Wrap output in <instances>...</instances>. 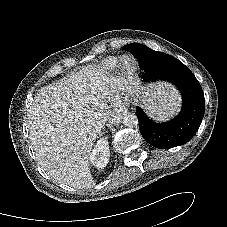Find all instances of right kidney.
<instances>
[{
	"mask_svg": "<svg viewBox=\"0 0 227 227\" xmlns=\"http://www.w3.org/2000/svg\"><path fill=\"white\" fill-rule=\"evenodd\" d=\"M89 161L98 169L106 167L109 161V144L106 139L102 138L97 141L90 153Z\"/></svg>",
	"mask_w": 227,
	"mask_h": 227,
	"instance_id": "ca27d5eb",
	"label": "right kidney"
}]
</instances>
